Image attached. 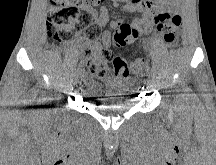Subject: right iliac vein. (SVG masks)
<instances>
[{"label": "right iliac vein", "mask_w": 216, "mask_h": 165, "mask_svg": "<svg viewBox=\"0 0 216 165\" xmlns=\"http://www.w3.org/2000/svg\"><path fill=\"white\" fill-rule=\"evenodd\" d=\"M81 75H82V72L78 73V75L75 76V79H76V80H79L80 77H81Z\"/></svg>", "instance_id": "1"}]
</instances>
